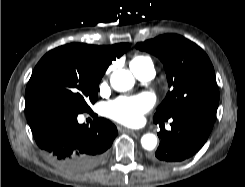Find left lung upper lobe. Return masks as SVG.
Instances as JSON below:
<instances>
[{
    "mask_svg": "<svg viewBox=\"0 0 245 187\" xmlns=\"http://www.w3.org/2000/svg\"><path fill=\"white\" fill-rule=\"evenodd\" d=\"M136 48L162 61L170 87L154 121L197 111H217L219 91L214 68L198 45L180 35L166 34L137 43Z\"/></svg>",
    "mask_w": 245,
    "mask_h": 187,
    "instance_id": "left-lung-upper-lobe-1",
    "label": "left lung upper lobe"
}]
</instances>
